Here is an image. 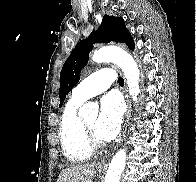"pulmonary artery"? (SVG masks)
Masks as SVG:
<instances>
[{
    "mask_svg": "<svg viewBox=\"0 0 196 182\" xmlns=\"http://www.w3.org/2000/svg\"><path fill=\"white\" fill-rule=\"evenodd\" d=\"M115 79V74L110 68H101L80 82L73 89L72 97L80 101H86L91 97L106 91Z\"/></svg>",
    "mask_w": 196,
    "mask_h": 182,
    "instance_id": "pulmonary-artery-1",
    "label": "pulmonary artery"
}]
</instances>
